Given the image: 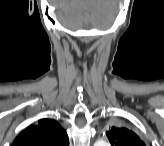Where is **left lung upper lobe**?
<instances>
[{"label": "left lung upper lobe", "mask_w": 164, "mask_h": 146, "mask_svg": "<svg viewBox=\"0 0 164 146\" xmlns=\"http://www.w3.org/2000/svg\"><path fill=\"white\" fill-rule=\"evenodd\" d=\"M106 135L110 143L115 146H145L133 131L124 127H112Z\"/></svg>", "instance_id": "1"}]
</instances>
